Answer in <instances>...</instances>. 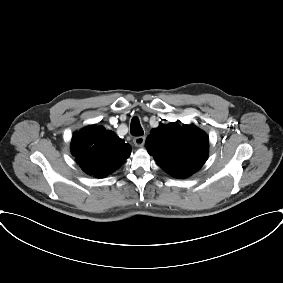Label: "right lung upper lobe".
Returning <instances> with one entry per match:
<instances>
[{"mask_svg":"<svg viewBox=\"0 0 283 283\" xmlns=\"http://www.w3.org/2000/svg\"><path fill=\"white\" fill-rule=\"evenodd\" d=\"M71 152L83 171L103 178L124 163L131 146L103 126L91 125L73 135Z\"/></svg>","mask_w":283,"mask_h":283,"instance_id":"cb5924a9","label":"right lung upper lobe"}]
</instances>
